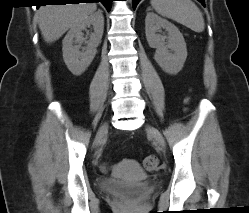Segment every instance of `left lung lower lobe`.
I'll list each match as a JSON object with an SVG mask.
<instances>
[{
    "label": "left lung lower lobe",
    "instance_id": "1",
    "mask_svg": "<svg viewBox=\"0 0 249 213\" xmlns=\"http://www.w3.org/2000/svg\"><path fill=\"white\" fill-rule=\"evenodd\" d=\"M139 1H140V0H133V9L136 8V6H137V4L139 3ZM198 1H200L203 5H205V4H204V0H198Z\"/></svg>",
    "mask_w": 249,
    "mask_h": 213
}]
</instances>
